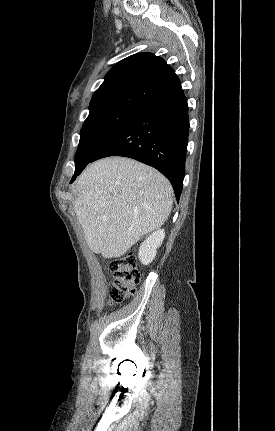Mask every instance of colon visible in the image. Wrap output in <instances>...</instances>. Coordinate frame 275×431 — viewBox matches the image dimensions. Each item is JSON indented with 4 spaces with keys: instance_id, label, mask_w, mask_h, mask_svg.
<instances>
[{
    "instance_id": "obj_1",
    "label": "colon",
    "mask_w": 275,
    "mask_h": 431,
    "mask_svg": "<svg viewBox=\"0 0 275 431\" xmlns=\"http://www.w3.org/2000/svg\"><path fill=\"white\" fill-rule=\"evenodd\" d=\"M113 281L109 286V303H121L136 292L140 273L136 267V258L128 253L110 263Z\"/></svg>"
}]
</instances>
